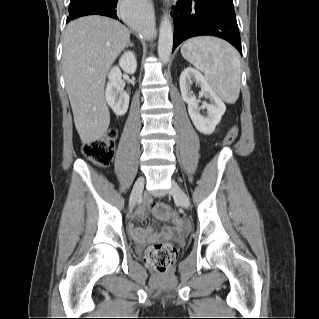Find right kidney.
I'll return each mask as SVG.
<instances>
[{"instance_id":"right-kidney-1","label":"right kidney","mask_w":319,"mask_h":319,"mask_svg":"<svg viewBox=\"0 0 319 319\" xmlns=\"http://www.w3.org/2000/svg\"><path fill=\"white\" fill-rule=\"evenodd\" d=\"M120 68L128 74L135 73L137 62L135 55L131 51L125 52L119 60V67H113L108 74L109 82L106 87L105 97L108 105L117 116L124 115L129 106V95L120 85L122 78Z\"/></svg>"}]
</instances>
